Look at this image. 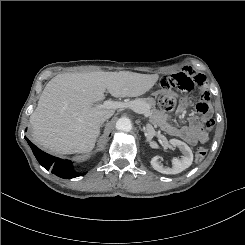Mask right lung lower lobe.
<instances>
[{
    "instance_id": "1",
    "label": "right lung lower lobe",
    "mask_w": 245,
    "mask_h": 245,
    "mask_svg": "<svg viewBox=\"0 0 245 245\" xmlns=\"http://www.w3.org/2000/svg\"><path fill=\"white\" fill-rule=\"evenodd\" d=\"M26 140L28 144L30 145L38 162L45 169L50 170L56 176L65 178V179H71V178H75V177L85 174V173L76 172L70 160H64V159H60L52 155H49L43 152L42 150H40L38 147H36L27 138Z\"/></svg>"
}]
</instances>
